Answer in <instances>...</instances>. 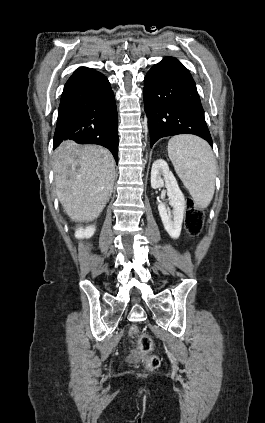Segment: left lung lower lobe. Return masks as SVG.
Here are the masks:
<instances>
[{"label":"left lung lower lobe","mask_w":265,"mask_h":423,"mask_svg":"<svg viewBox=\"0 0 265 423\" xmlns=\"http://www.w3.org/2000/svg\"><path fill=\"white\" fill-rule=\"evenodd\" d=\"M150 146L166 136L194 134L212 146L204 110L190 72L173 57L154 65L144 79Z\"/></svg>","instance_id":"obj_1"}]
</instances>
